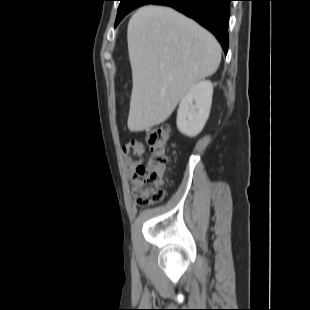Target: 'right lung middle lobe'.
<instances>
[{
    "label": "right lung middle lobe",
    "mask_w": 310,
    "mask_h": 310,
    "mask_svg": "<svg viewBox=\"0 0 310 310\" xmlns=\"http://www.w3.org/2000/svg\"><path fill=\"white\" fill-rule=\"evenodd\" d=\"M115 26L128 14L131 10L151 3L153 0H120Z\"/></svg>",
    "instance_id": "1"
}]
</instances>
